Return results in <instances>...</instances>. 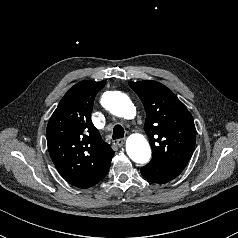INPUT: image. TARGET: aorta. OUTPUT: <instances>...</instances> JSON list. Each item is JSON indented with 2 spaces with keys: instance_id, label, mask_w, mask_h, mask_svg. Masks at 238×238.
<instances>
[{
  "instance_id": "1",
  "label": "aorta",
  "mask_w": 238,
  "mask_h": 238,
  "mask_svg": "<svg viewBox=\"0 0 238 238\" xmlns=\"http://www.w3.org/2000/svg\"><path fill=\"white\" fill-rule=\"evenodd\" d=\"M103 106L112 114L125 119L135 116V107L130 98L120 92H107L103 96ZM126 151L130 159L136 163H147L151 157L148 141L140 134L131 135L126 142Z\"/></svg>"
}]
</instances>
